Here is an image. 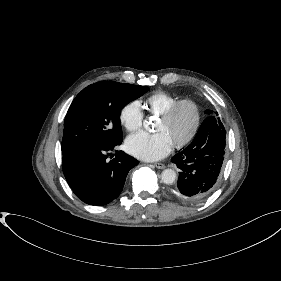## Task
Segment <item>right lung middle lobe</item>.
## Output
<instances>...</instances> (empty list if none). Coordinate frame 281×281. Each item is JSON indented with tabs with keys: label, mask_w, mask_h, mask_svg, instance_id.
Here are the masks:
<instances>
[{
	"label": "right lung middle lobe",
	"mask_w": 281,
	"mask_h": 281,
	"mask_svg": "<svg viewBox=\"0 0 281 281\" xmlns=\"http://www.w3.org/2000/svg\"><path fill=\"white\" fill-rule=\"evenodd\" d=\"M149 90L147 86L101 81L83 89L70 105L64 122L62 154L84 146L122 140V108Z\"/></svg>",
	"instance_id": "obj_1"
}]
</instances>
